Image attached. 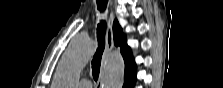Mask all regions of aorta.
Wrapping results in <instances>:
<instances>
[{
    "label": "aorta",
    "mask_w": 223,
    "mask_h": 88,
    "mask_svg": "<svg viewBox=\"0 0 223 88\" xmlns=\"http://www.w3.org/2000/svg\"><path fill=\"white\" fill-rule=\"evenodd\" d=\"M94 52L93 44L85 38L74 39L63 54L55 77L56 88H74L80 72ZM125 63L118 51L110 54L105 62L102 83L103 88H122Z\"/></svg>",
    "instance_id": "1"
}]
</instances>
